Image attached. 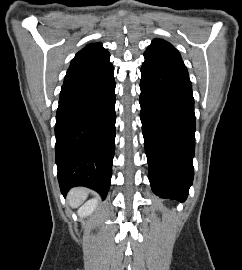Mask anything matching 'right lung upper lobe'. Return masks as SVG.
Segmentation results:
<instances>
[{"mask_svg":"<svg viewBox=\"0 0 242 270\" xmlns=\"http://www.w3.org/2000/svg\"><path fill=\"white\" fill-rule=\"evenodd\" d=\"M109 52L101 43H92L80 50L72 59L64 83L81 77L109 60Z\"/></svg>","mask_w":242,"mask_h":270,"instance_id":"right-lung-upper-lobe-1","label":"right lung upper lobe"}]
</instances>
